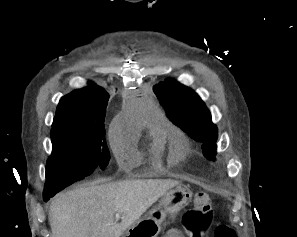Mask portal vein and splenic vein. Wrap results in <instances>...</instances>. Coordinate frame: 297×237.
<instances>
[{"label":"portal vein and splenic vein","instance_id":"obj_1","mask_svg":"<svg viewBox=\"0 0 297 237\" xmlns=\"http://www.w3.org/2000/svg\"><path fill=\"white\" fill-rule=\"evenodd\" d=\"M116 217H119V213L116 214Z\"/></svg>","mask_w":297,"mask_h":237}]
</instances>
